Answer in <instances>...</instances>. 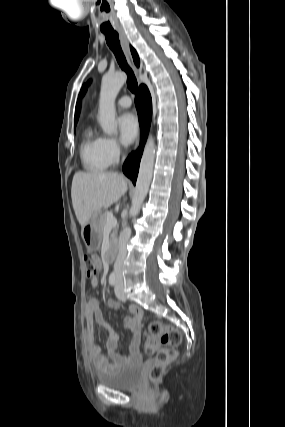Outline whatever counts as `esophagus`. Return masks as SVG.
<instances>
[{
	"label": "esophagus",
	"instance_id": "obj_1",
	"mask_svg": "<svg viewBox=\"0 0 285 427\" xmlns=\"http://www.w3.org/2000/svg\"><path fill=\"white\" fill-rule=\"evenodd\" d=\"M117 32L119 34V38H120L121 45H122L125 57L127 59V62L129 64V66L132 68V70L134 71V73L136 74V76H138L140 74V69H138L133 62L132 55L130 52L128 38H127V36H126V34L122 28H118ZM139 139L140 138L138 137L137 142H136V148L139 145Z\"/></svg>",
	"mask_w": 285,
	"mask_h": 427
}]
</instances>
